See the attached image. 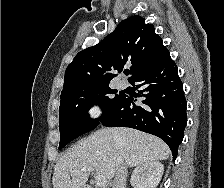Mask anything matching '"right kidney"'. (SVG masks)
Returning <instances> with one entry per match:
<instances>
[{
  "instance_id": "1",
  "label": "right kidney",
  "mask_w": 224,
  "mask_h": 188,
  "mask_svg": "<svg viewBox=\"0 0 224 188\" xmlns=\"http://www.w3.org/2000/svg\"><path fill=\"white\" fill-rule=\"evenodd\" d=\"M164 172V166L158 161H151L138 166L131 176L133 188H157Z\"/></svg>"
}]
</instances>
